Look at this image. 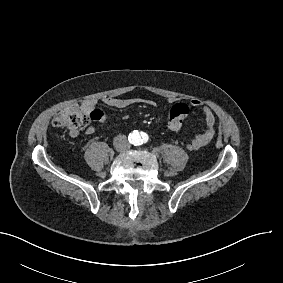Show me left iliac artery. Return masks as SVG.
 <instances>
[{
  "label": "left iliac artery",
  "mask_w": 283,
  "mask_h": 283,
  "mask_svg": "<svg viewBox=\"0 0 283 283\" xmlns=\"http://www.w3.org/2000/svg\"><path fill=\"white\" fill-rule=\"evenodd\" d=\"M141 137H142V140L138 141L136 143L137 145H141V144H143V142L146 143L148 141V139H149L148 135L146 133H144V132H141Z\"/></svg>",
  "instance_id": "left-iliac-artery-1"
}]
</instances>
